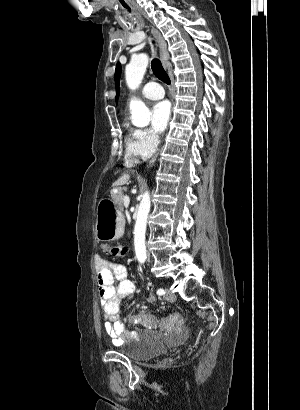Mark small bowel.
Masks as SVG:
<instances>
[{
    "instance_id": "1",
    "label": "small bowel",
    "mask_w": 300,
    "mask_h": 410,
    "mask_svg": "<svg viewBox=\"0 0 300 410\" xmlns=\"http://www.w3.org/2000/svg\"><path fill=\"white\" fill-rule=\"evenodd\" d=\"M95 272L105 320L104 329L112 344L119 346L133 340L136 338V331L126 327L120 320L119 310L122 303L134 295V282L128 278L127 270L123 265L117 263L109 265L102 257H98L95 261Z\"/></svg>"
}]
</instances>
